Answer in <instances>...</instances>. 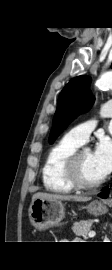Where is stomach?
Instances as JSON below:
<instances>
[{
	"label": "stomach",
	"mask_w": 112,
	"mask_h": 270,
	"mask_svg": "<svg viewBox=\"0 0 112 270\" xmlns=\"http://www.w3.org/2000/svg\"><path fill=\"white\" fill-rule=\"evenodd\" d=\"M87 209L93 215H102L107 210L106 206L98 200L92 201ZM64 216V204L59 199L37 198L29 207L30 222L38 230L58 226Z\"/></svg>",
	"instance_id": "1"
}]
</instances>
